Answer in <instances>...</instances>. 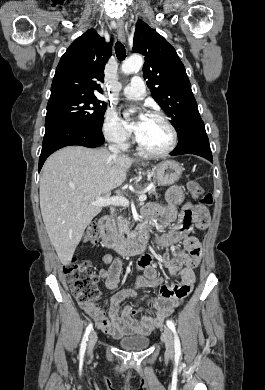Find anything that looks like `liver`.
Returning a JSON list of instances; mask_svg holds the SVG:
<instances>
[{"instance_id":"obj_1","label":"liver","mask_w":265,"mask_h":390,"mask_svg":"<svg viewBox=\"0 0 265 390\" xmlns=\"http://www.w3.org/2000/svg\"><path fill=\"white\" fill-rule=\"evenodd\" d=\"M135 160L107 149L67 146L44 163L40 209L49 239L63 265L70 264L86 227L101 212L92 205L120 186Z\"/></svg>"}]
</instances>
